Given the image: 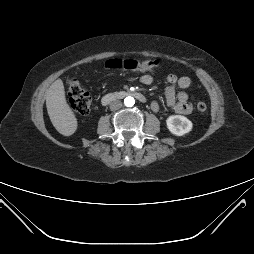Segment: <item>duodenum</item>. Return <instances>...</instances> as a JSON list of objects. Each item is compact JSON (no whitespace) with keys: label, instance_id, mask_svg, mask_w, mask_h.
<instances>
[{"label":"duodenum","instance_id":"1","mask_svg":"<svg viewBox=\"0 0 254 254\" xmlns=\"http://www.w3.org/2000/svg\"><path fill=\"white\" fill-rule=\"evenodd\" d=\"M128 96H132L136 99H138L141 102H145L146 98L143 94L137 91H130V90H122V91H116L112 93H108L102 97V104L107 105L113 101L124 99Z\"/></svg>","mask_w":254,"mask_h":254}]
</instances>
